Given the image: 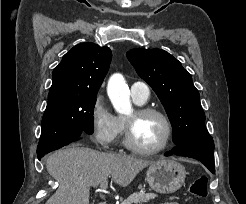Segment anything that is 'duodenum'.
<instances>
[{
  "label": "duodenum",
  "instance_id": "duodenum-1",
  "mask_svg": "<svg viewBox=\"0 0 246 204\" xmlns=\"http://www.w3.org/2000/svg\"><path fill=\"white\" fill-rule=\"evenodd\" d=\"M99 204H107L106 202H102V203H99Z\"/></svg>",
  "mask_w": 246,
  "mask_h": 204
}]
</instances>
